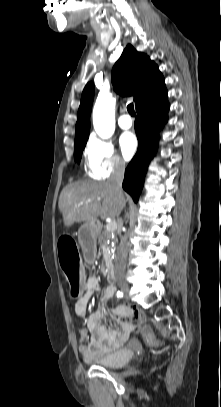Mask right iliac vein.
I'll return each mask as SVG.
<instances>
[{
  "mask_svg": "<svg viewBox=\"0 0 221 407\" xmlns=\"http://www.w3.org/2000/svg\"><path fill=\"white\" fill-rule=\"evenodd\" d=\"M119 286H120V289H121L122 293L128 299L129 298V286H128V284L126 282H120Z\"/></svg>",
  "mask_w": 221,
  "mask_h": 407,
  "instance_id": "63e3f726",
  "label": "right iliac vein"
}]
</instances>
